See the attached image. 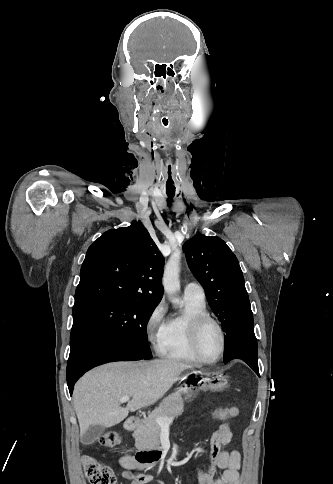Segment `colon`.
<instances>
[{
	"mask_svg": "<svg viewBox=\"0 0 333 484\" xmlns=\"http://www.w3.org/2000/svg\"><path fill=\"white\" fill-rule=\"evenodd\" d=\"M229 407H220L212 409L205 414L189 420L184 425L189 426L197 422L202 417H211L217 420H226L228 417ZM121 437L118 433L110 431L101 435L98 439V443L104 447H115L119 445ZM84 472L87 480L90 484H114L115 474L113 470L90 456H84L82 458Z\"/></svg>",
	"mask_w": 333,
	"mask_h": 484,
	"instance_id": "1",
	"label": "colon"
}]
</instances>
